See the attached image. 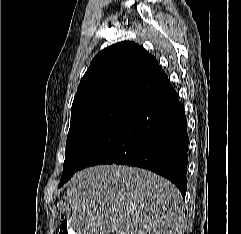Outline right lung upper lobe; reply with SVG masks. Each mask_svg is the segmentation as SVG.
Here are the masks:
<instances>
[{
    "mask_svg": "<svg viewBox=\"0 0 241 234\" xmlns=\"http://www.w3.org/2000/svg\"><path fill=\"white\" fill-rule=\"evenodd\" d=\"M167 80L156 58L142 46L120 42L94 57L80 81L71 112L110 101L137 104Z\"/></svg>",
    "mask_w": 241,
    "mask_h": 234,
    "instance_id": "right-lung-upper-lobe-1",
    "label": "right lung upper lobe"
}]
</instances>
